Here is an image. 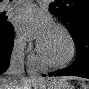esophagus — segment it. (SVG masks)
<instances>
[{
    "label": "esophagus",
    "mask_w": 89,
    "mask_h": 89,
    "mask_svg": "<svg viewBox=\"0 0 89 89\" xmlns=\"http://www.w3.org/2000/svg\"><path fill=\"white\" fill-rule=\"evenodd\" d=\"M31 77L33 80H38L39 79V74L36 71H32Z\"/></svg>",
    "instance_id": "esophagus-1"
}]
</instances>
